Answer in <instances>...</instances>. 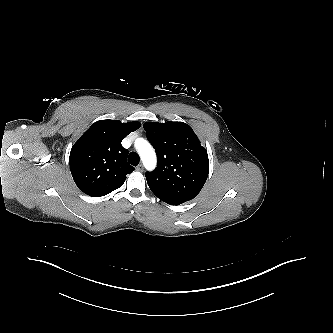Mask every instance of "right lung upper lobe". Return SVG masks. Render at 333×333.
<instances>
[{
    "instance_id": "cb5924a9",
    "label": "right lung upper lobe",
    "mask_w": 333,
    "mask_h": 333,
    "mask_svg": "<svg viewBox=\"0 0 333 333\" xmlns=\"http://www.w3.org/2000/svg\"><path fill=\"white\" fill-rule=\"evenodd\" d=\"M139 122L100 120L77 140L69 165L78 188L92 197H101L121 187L134 168L127 163L128 150L121 141L137 130Z\"/></svg>"
}]
</instances>
